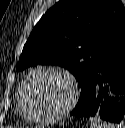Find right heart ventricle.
Returning <instances> with one entry per match:
<instances>
[{
  "label": "right heart ventricle",
  "instance_id": "obj_1",
  "mask_svg": "<svg viewBox=\"0 0 125 128\" xmlns=\"http://www.w3.org/2000/svg\"><path fill=\"white\" fill-rule=\"evenodd\" d=\"M18 108H19V111L20 113L22 114L21 110H20V107H19V91H18ZM23 115V114H22ZM24 116V115H23ZM25 117V116H24Z\"/></svg>",
  "mask_w": 125,
  "mask_h": 128
}]
</instances>
